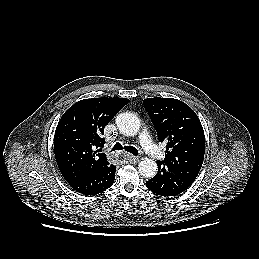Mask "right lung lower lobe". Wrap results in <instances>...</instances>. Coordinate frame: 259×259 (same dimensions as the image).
Masks as SVG:
<instances>
[{
  "instance_id": "1",
  "label": "right lung lower lobe",
  "mask_w": 259,
  "mask_h": 259,
  "mask_svg": "<svg viewBox=\"0 0 259 259\" xmlns=\"http://www.w3.org/2000/svg\"><path fill=\"white\" fill-rule=\"evenodd\" d=\"M115 171L116 167L109 164L68 182V184L81 194L96 195L112 186L115 179Z\"/></svg>"
}]
</instances>
